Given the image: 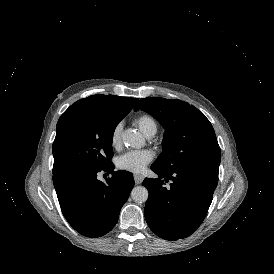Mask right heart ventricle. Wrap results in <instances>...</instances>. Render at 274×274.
Returning <instances> with one entry per match:
<instances>
[{
    "label": "right heart ventricle",
    "mask_w": 274,
    "mask_h": 274,
    "mask_svg": "<svg viewBox=\"0 0 274 274\" xmlns=\"http://www.w3.org/2000/svg\"><path fill=\"white\" fill-rule=\"evenodd\" d=\"M135 122L143 134H145L152 127L156 126L155 121L148 115L138 117Z\"/></svg>",
    "instance_id": "obj_1"
}]
</instances>
